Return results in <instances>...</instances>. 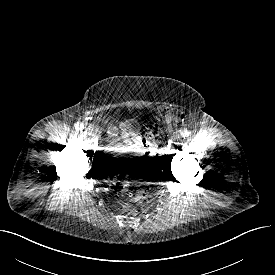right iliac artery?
<instances>
[{"instance_id": "right-iliac-artery-1", "label": "right iliac artery", "mask_w": 275, "mask_h": 275, "mask_svg": "<svg viewBox=\"0 0 275 275\" xmlns=\"http://www.w3.org/2000/svg\"><path fill=\"white\" fill-rule=\"evenodd\" d=\"M83 128H84V125L82 123L78 122V123L75 124V129L76 130H82Z\"/></svg>"}]
</instances>
